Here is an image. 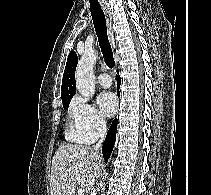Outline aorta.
<instances>
[{"label": "aorta", "mask_w": 211, "mask_h": 195, "mask_svg": "<svg viewBox=\"0 0 211 195\" xmlns=\"http://www.w3.org/2000/svg\"><path fill=\"white\" fill-rule=\"evenodd\" d=\"M97 59L94 51H86L76 68L75 80L78 92L84 97H91L95 93L93 68Z\"/></svg>", "instance_id": "aorta-1"}]
</instances>
